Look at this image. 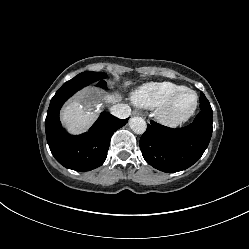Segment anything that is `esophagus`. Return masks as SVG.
<instances>
[{
    "label": "esophagus",
    "instance_id": "esophagus-1",
    "mask_svg": "<svg viewBox=\"0 0 249 249\" xmlns=\"http://www.w3.org/2000/svg\"><path fill=\"white\" fill-rule=\"evenodd\" d=\"M133 115L142 116V113L140 111L134 110Z\"/></svg>",
    "mask_w": 249,
    "mask_h": 249
}]
</instances>
